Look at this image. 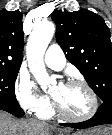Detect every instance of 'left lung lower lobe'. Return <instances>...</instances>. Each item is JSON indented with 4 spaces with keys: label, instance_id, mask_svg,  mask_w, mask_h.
Returning a JSON list of instances; mask_svg holds the SVG:
<instances>
[{
    "label": "left lung lower lobe",
    "instance_id": "obj_1",
    "mask_svg": "<svg viewBox=\"0 0 112 135\" xmlns=\"http://www.w3.org/2000/svg\"><path fill=\"white\" fill-rule=\"evenodd\" d=\"M102 124H112V100H107L97 110L96 114L89 120L80 123H61L62 126L71 128H88Z\"/></svg>",
    "mask_w": 112,
    "mask_h": 135
}]
</instances>
